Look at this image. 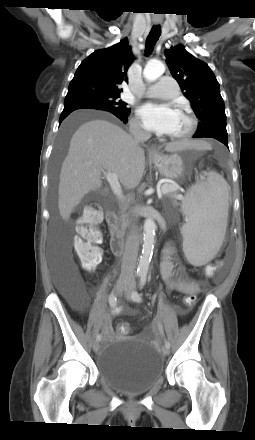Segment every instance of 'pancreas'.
Returning <instances> with one entry per match:
<instances>
[{"instance_id":"pancreas-1","label":"pancreas","mask_w":255,"mask_h":440,"mask_svg":"<svg viewBox=\"0 0 255 440\" xmlns=\"http://www.w3.org/2000/svg\"><path fill=\"white\" fill-rule=\"evenodd\" d=\"M166 185L162 186V189H164ZM168 197H170L171 199H174L177 197V192L175 191H170L168 193H166ZM175 203V202H174ZM128 215L126 213H121L119 219H118V224H117V228H120L121 233H124L127 226H128Z\"/></svg>"}]
</instances>
